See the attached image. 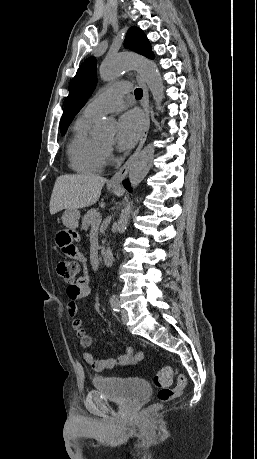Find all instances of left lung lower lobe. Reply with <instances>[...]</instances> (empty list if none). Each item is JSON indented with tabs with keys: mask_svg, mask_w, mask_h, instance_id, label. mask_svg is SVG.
Segmentation results:
<instances>
[{
	"mask_svg": "<svg viewBox=\"0 0 257 459\" xmlns=\"http://www.w3.org/2000/svg\"><path fill=\"white\" fill-rule=\"evenodd\" d=\"M123 185L125 186L126 189H128V191H131L130 183L128 180L123 181Z\"/></svg>",
	"mask_w": 257,
	"mask_h": 459,
	"instance_id": "obj_1",
	"label": "left lung lower lobe"
}]
</instances>
